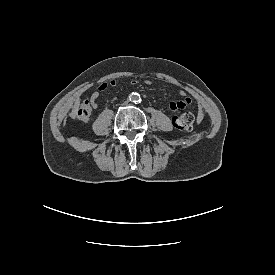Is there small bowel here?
<instances>
[{"label":"small bowel","instance_id":"small-bowel-1","mask_svg":"<svg viewBox=\"0 0 275 275\" xmlns=\"http://www.w3.org/2000/svg\"><path fill=\"white\" fill-rule=\"evenodd\" d=\"M107 83H102L100 84L99 88L94 91L92 93V95L89 97L90 98V103L92 108H97L98 107V97L100 95L101 92H103L106 88H107ZM180 94L182 96H185V92L184 91H180ZM192 103V99L188 96L184 97L182 100L179 101H174L171 102L169 107L171 110H183L186 107H188L189 105H191ZM204 118V113L201 109L198 110L197 112V122H201Z\"/></svg>","mask_w":275,"mask_h":275}]
</instances>
